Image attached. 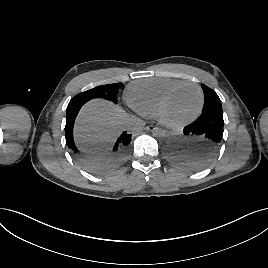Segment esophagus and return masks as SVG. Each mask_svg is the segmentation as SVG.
Masks as SVG:
<instances>
[{"instance_id": "obj_1", "label": "esophagus", "mask_w": 268, "mask_h": 268, "mask_svg": "<svg viewBox=\"0 0 268 268\" xmlns=\"http://www.w3.org/2000/svg\"><path fill=\"white\" fill-rule=\"evenodd\" d=\"M145 130H146V131H151V132H153V131H158L159 128L156 127V126H154V125H149V126H146V127H145Z\"/></svg>"}]
</instances>
